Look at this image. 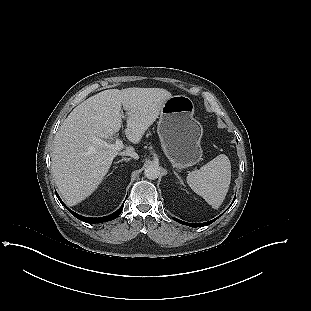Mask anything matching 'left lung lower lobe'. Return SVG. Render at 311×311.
Wrapping results in <instances>:
<instances>
[{"instance_id":"left-lung-lower-lobe-1","label":"left lung lower lobe","mask_w":311,"mask_h":311,"mask_svg":"<svg viewBox=\"0 0 311 311\" xmlns=\"http://www.w3.org/2000/svg\"><path fill=\"white\" fill-rule=\"evenodd\" d=\"M218 218V217H217ZM216 218V219H217ZM175 221L179 222L180 224H184V225H187V226H190V227H203V226H207L209 224H211L212 222H214L216 219L214 220H211V221H208V222H204V223H198V224H194V223H187V222H183L179 219H176V218H173Z\"/></svg>"}]
</instances>
